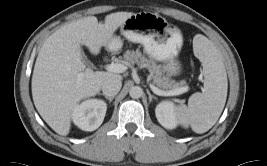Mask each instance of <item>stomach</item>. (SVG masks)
I'll return each mask as SVG.
<instances>
[{
	"mask_svg": "<svg viewBox=\"0 0 267 166\" xmlns=\"http://www.w3.org/2000/svg\"><path fill=\"white\" fill-rule=\"evenodd\" d=\"M121 34L131 42L140 43L152 59L165 63L170 75L180 73L177 56L183 44L182 35L162 16L151 12L132 14L121 26ZM122 46L120 37H112L107 44L111 51H118Z\"/></svg>",
	"mask_w": 267,
	"mask_h": 166,
	"instance_id": "stomach-1",
	"label": "stomach"
}]
</instances>
